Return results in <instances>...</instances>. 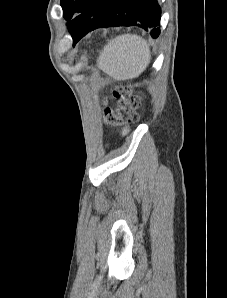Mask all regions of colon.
I'll return each instance as SVG.
<instances>
[{"instance_id":"colon-1","label":"colon","mask_w":227,"mask_h":298,"mask_svg":"<svg viewBox=\"0 0 227 298\" xmlns=\"http://www.w3.org/2000/svg\"><path fill=\"white\" fill-rule=\"evenodd\" d=\"M117 106L113 110L104 107V120L109 125L134 124L139 120L138 108L140 106L139 97L133 93L128 86H118L113 91Z\"/></svg>"}]
</instances>
